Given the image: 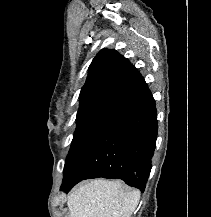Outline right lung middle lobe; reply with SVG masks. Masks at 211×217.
I'll list each match as a JSON object with an SVG mask.
<instances>
[{"label": "right lung middle lobe", "mask_w": 211, "mask_h": 217, "mask_svg": "<svg viewBox=\"0 0 211 217\" xmlns=\"http://www.w3.org/2000/svg\"><path fill=\"white\" fill-rule=\"evenodd\" d=\"M113 116H91L77 119L72 145L64 166V178L71 172L77 161L93 144L100 133L115 119Z\"/></svg>", "instance_id": "right-lung-middle-lobe-1"}]
</instances>
